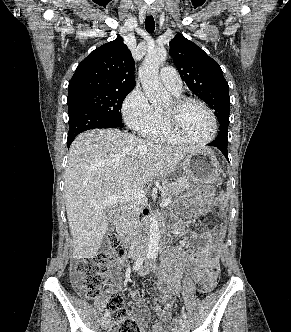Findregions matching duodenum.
Masks as SVG:
<instances>
[{"mask_svg":"<svg viewBox=\"0 0 291 332\" xmlns=\"http://www.w3.org/2000/svg\"><path fill=\"white\" fill-rule=\"evenodd\" d=\"M120 237L122 238V240L127 244V245H132L135 242L134 237H132L131 235L121 231L120 232Z\"/></svg>","mask_w":291,"mask_h":332,"instance_id":"410a0bca","label":"duodenum"}]
</instances>
